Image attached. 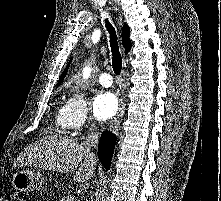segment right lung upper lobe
Instances as JSON below:
<instances>
[{
	"label": "right lung upper lobe",
	"mask_w": 221,
	"mask_h": 201,
	"mask_svg": "<svg viewBox=\"0 0 221 201\" xmlns=\"http://www.w3.org/2000/svg\"><path fill=\"white\" fill-rule=\"evenodd\" d=\"M129 33H130V28L128 25H124L123 29H122V43H123V47L125 48V53L127 54V52L130 51L131 49V40L129 38ZM71 61V60H70ZM68 67L69 64L67 65V67L65 68L64 72L62 73L59 81H58V85L61 84L62 80L64 79V77L67 74L68 71Z\"/></svg>",
	"instance_id": "cb5924a9"
}]
</instances>
